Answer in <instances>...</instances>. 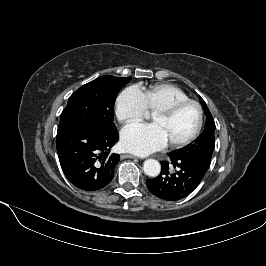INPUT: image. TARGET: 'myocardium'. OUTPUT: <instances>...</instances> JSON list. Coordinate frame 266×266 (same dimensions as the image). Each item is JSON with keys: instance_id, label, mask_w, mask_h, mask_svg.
<instances>
[{"instance_id": "myocardium-1", "label": "myocardium", "mask_w": 266, "mask_h": 266, "mask_svg": "<svg viewBox=\"0 0 266 266\" xmlns=\"http://www.w3.org/2000/svg\"><path fill=\"white\" fill-rule=\"evenodd\" d=\"M187 105H193L197 109V113H198L197 124L194 130L192 131V133L188 135L186 138L179 140V141L169 142V146L173 148H180V147L186 146L197 138V136L199 135L201 131L203 121H204V113H203L202 106L200 105L199 102L195 100L187 99L184 101L175 102L163 109H160L154 112L152 115V117H156V116L168 117V116L173 115L179 109Z\"/></svg>"}]
</instances>
